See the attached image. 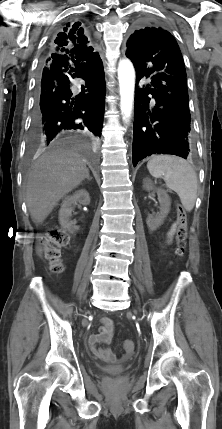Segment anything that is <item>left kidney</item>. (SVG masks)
I'll list each match as a JSON object with an SVG mask.
<instances>
[{
  "mask_svg": "<svg viewBox=\"0 0 222 429\" xmlns=\"http://www.w3.org/2000/svg\"><path fill=\"white\" fill-rule=\"evenodd\" d=\"M143 188L147 191L156 190L158 201L160 203V212L156 216L148 215L147 226L150 231H155L159 228L170 211L171 200L167 192L161 188H155L150 179L143 180Z\"/></svg>",
  "mask_w": 222,
  "mask_h": 429,
  "instance_id": "1",
  "label": "left kidney"
}]
</instances>
